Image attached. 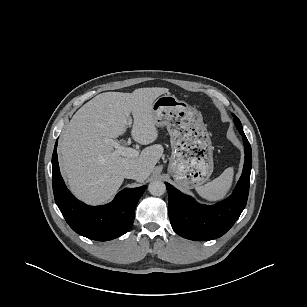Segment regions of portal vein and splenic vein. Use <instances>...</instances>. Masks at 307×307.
I'll return each instance as SVG.
<instances>
[{
	"instance_id": "1",
	"label": "portal vein and splenic vein",
	"mask_w": 307,
	"mask_h": 307,
	"mask_svg": "<svg viewBox=\"0 0 307 307\" xmlns=\"http://www.w3.org/2000/svg\"><path fill=\"white\" fill-rule=\"evenodd\" d=\"M128 124H131V120H129ZM105 142L110 143L116 149L114 155H122L129 158H136L139 155V152L136 149L121 146L114 140L106 139Z\"/></svg>"
}]
</instances>
